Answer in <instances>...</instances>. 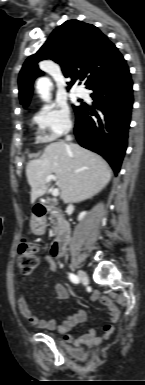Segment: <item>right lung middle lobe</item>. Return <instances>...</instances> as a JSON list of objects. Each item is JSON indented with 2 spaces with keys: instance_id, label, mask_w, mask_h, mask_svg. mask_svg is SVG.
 I'll return each mask as SVG.
<instances>
[{
  "instance_id": "1",
  "label": "right lung middle lobe",
  "mask_w": 145,
  "mask_h": 385,
  "mask_svg": "<svg viewBox=\"0 0 145 385\" xmlns=\"http://www.w3.org/2000/svg\"><path fill=\"white\" fill-rule=\"evenodd\" d=\"M79 108H80V106L74 107V110L77 111Z\"/></svg>"
}]
</instances>
